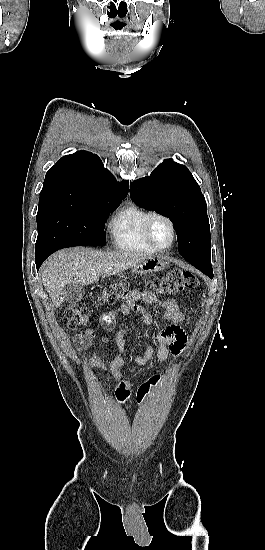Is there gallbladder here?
Here are the masks:
<instances>
[{
	"mask_svg": "<svg viewBox=\"0 0 265 550\" xmlns=\"http://www.w3.org/2000/svg\"><path fill=\"white\" fill-rule=\"evenodd\" d=\"M84 295L85 289L81 284L68 283L63 288V297L66 303H77L83 299Z\"/></svg>",
	"mask_w": 265,
	"mask_h": 550,
	"instance_id": "1",
	"label": "gallbladder"
}]
</instances>
